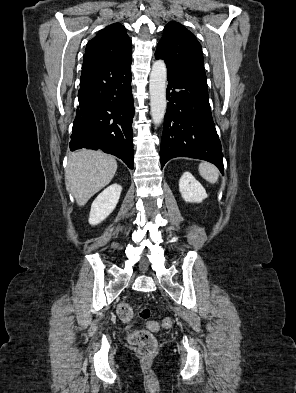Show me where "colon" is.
I'll return each mask as SVG.
<instances>
[{"label":"colon","instance_id":"1","mask_svg":"<svg viewBox=\"0 0 296 393\" xmlns=\"http://www.w3.org/2000/svg\"><path fill=\"white\" fill-rule=\"evenodd\" d=\"M118 314L123 321H130L134 317L132 308L127 302H122L118 306ZM150 315V311L144 308L140 311V316L142 318H147ZM162 326L164 328H170L172 326L171 319H164L162 321ZM148 330H139L132 332L129 337V343L139 350V353L143 357L152 356L157 350V343L151 334V331H157L159 329V324L150 321L148 322Z\"/></svg>","mask_w":296,"mask_h":393}]
</instances>
